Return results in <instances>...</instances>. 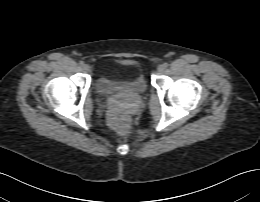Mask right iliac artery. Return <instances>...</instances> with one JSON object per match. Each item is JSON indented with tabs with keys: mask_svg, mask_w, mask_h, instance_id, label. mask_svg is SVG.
<instances>
[{
	"mask_svg": "<svg viewBox=\"0 0 260 202\" xmlns=\"http://www.w3.org/2000/svg\"><path fill=\"white\" fill-rule=\"evenodd\" d=\"M79 65H80V66H84V62H83V61H80V62H79Z\"/></svg>",
	"mask_w": 260,
	"mask_h": 202,
	"instance_id": "82829eb1",
	"label": "right iliac artery"
}]
</instances>
